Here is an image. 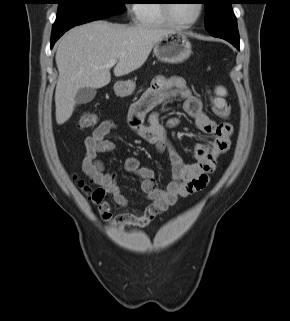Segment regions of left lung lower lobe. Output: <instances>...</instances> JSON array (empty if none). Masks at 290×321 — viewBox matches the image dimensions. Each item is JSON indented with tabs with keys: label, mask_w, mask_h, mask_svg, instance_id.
Here are the masks:
<instances>
[{
	"label": "left lung lower lobe",
	"mask_w": 290,
	"mask_h": 321,
	"mask_svg": "<svg viewBox=\"0 0 290 321\" xmlns=\"http://www.w3.org/2000/svg\"><path fill=\"white\" fill-rule=\"evenodd\" d=\"M212 36L225 39L239 50V33L237 25L211 33Z\"/></svg>",
	"instance_id": "1"
}]
</instances>
